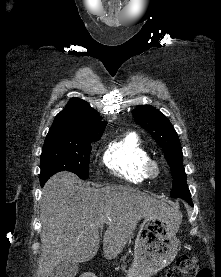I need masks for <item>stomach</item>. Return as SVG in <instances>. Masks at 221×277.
I'll list each match as a JSON object with an SVG mask.
<instances>
[{
	"mask_svg": "<svg viewBox=\"0 0 221 277\" xmlns=\"http://www.w3.org/2000/svg\"><path fill=\"white\" fill-rule=\"evenodd\" d=\"M181 214L172 209L169 215L144 218L135 240L134 259L127 277H151L168 266L176 257V233Z\"/></svg>",
	"mask_w": 221,
	"mask_h": 277,
	"instance_id": "stomach-1",
	"label": "stomach"
}]
</instances>
